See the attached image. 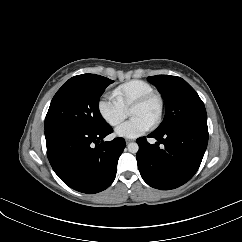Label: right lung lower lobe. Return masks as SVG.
I'll list each match as a JSON object with an SVG mask.
<instances>
[{
    "label": "right lung lower lobe",
    "mask_w": 242,
    "mask_h": 242,
    "mask_svg": "<svg viewBox=\"0 0 242 242\" xmlns=\"http://www.w3.org/2000/svg\"><path fill=\"white\" fill-rule=\"evenodd\" d=\"M112 132L110 125L102 130L79 125L45 129L47 156L58 177L83 193L93 194L108 188L126 146L121 137L109 142L102 140Z\"/></svg>",
    "instance_id": "1"
}]
</instances>
